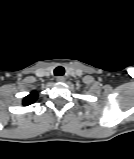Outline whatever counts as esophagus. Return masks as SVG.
I'll list each match as a JSON object with an SVG mask.
<instances>
[{
  "instance_id": "obj_1",
  "label": "esophagus",
  "mask_w": 134,
  "mask_h": 159,
  "mask_svg": "<svg viewBox=\"0 0 134 159\" xmlns=\"http://www.w3.org/2000/svg\"><path fill=\"white\" fill-rule=\"evenodd\" d=\"M56 80H57V82H64L65 77L64 76H57Z\"/></svg>"
}]
</instances>
